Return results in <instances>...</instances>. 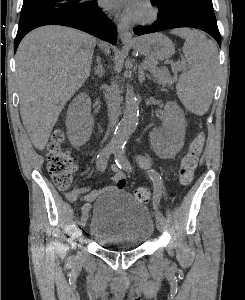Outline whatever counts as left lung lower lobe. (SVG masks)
Wrapping results in <instances>:
<instances>
[{
  "label": "left lung lower lobe",
  "instance_id": "left-lung-lower-lobe-1",
  "mask_svg": "<svg viewBox=\"0 0 245 300\" xmlns=\"http://www.w3.org/2000/svg\"><path fill=\"white\" fill-rule=\"evenodd\" d=\"M179 27H191L205 31L221 46V35L214 10L192 4H175L164 13L159 10L158 19L151 26H138L134 29V33L143 35Z\"/></svg>",
  "mask_w": 245,
  "mask_h": 300
}]
</instances>
